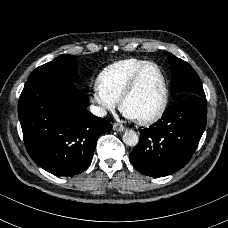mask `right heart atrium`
<instances>
[{
	"mask_svg": "<svg viewBox=\"0 0 228 228\" xmlns=\"http://www.w3.org/2000/svg\"><path fill=\"white\" fill-rule=\"evenodd\" d=\"M91 100L96 105L98 112L101 114H105L107 111L113 110L117 104V102L112 98L100 92L96 83L93 85Z\"/></svg>",
	"mask_w": 228,
	"mask_h": 228,
	"instance_id": "obj_1",
	"label": "right heart atrium"
}]
</instances>
